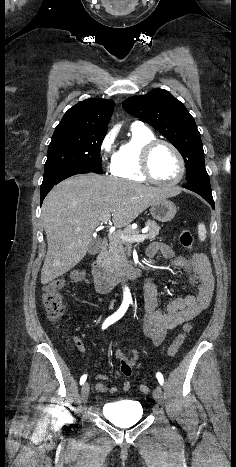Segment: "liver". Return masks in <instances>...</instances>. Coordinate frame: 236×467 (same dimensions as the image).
I'll return each instance as SVG.
<instances>
[{"label":"liver","instance_id":"obj_1","mask_svg":"<svg viewBox=\"0 0 236 467\" xmlns=\"http://www.w3.org/2000/svg\"><path fill=\"white\" fill-rule=\"evenodd\" d=\"M179 192L173 187H149L92 173L59 183L42 205L48 251L41 283H50L83 259L103 217L112 216L114 226L122 228L154 202Z\"/></svg>","mask_w":236,"mask_h":467}]
</instances>
